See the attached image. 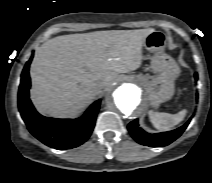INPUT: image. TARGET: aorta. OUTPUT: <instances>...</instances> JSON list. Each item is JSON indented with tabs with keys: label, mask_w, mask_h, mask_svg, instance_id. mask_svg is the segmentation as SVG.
Masks as SVG:
<instances>
[{
	"label": "aorta",
	"mask_w": 212,
	"mask_h": 183,
	"mask_svg": "<svg viewBox=\"0 0 212 183\" xmlns=\"http://www.w3.org/2000/svg\"><path fill=\"white\" fill-rule=\"evenodd\" d=\"M141 90L132 83H123L108 97L115 108L125 115H131L140 104Z\"/></svg>",
	"instance_id": "aorta-1"
}]
</instances>
